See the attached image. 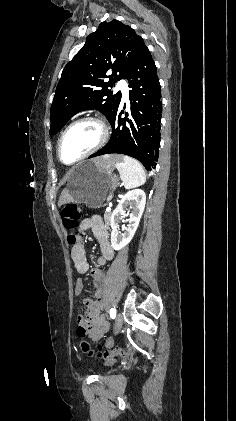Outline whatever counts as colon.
<instances>
[{"mask_svg": "<svg viewBox=\"0 0 236 421\" xmlns=\"http://www.w3.org/2000/svg\"><path fill=\"white\" fill-rule=\"evenodd\" d=\"M81 215V209L77 204H66L61 211V217L65 228L68 230H74L75 228H77L81 219ZM69 243L74 245L75 247H78L79 245H81V235L77 233L71 234L69 236ZM78 256L79 252H76V257L78 258ZM83 331V327L78 328L79 333H82ZM79 348L83 353L87 354L90 357H97L104 360H108L117 356L122 358H128L131 355L130 351L124 348H115L112 350H94L91 344L87 341H81L79 343Z\"/></svg>", "mask_w": 236, "mask_h": 421, "instance_id": "5ec220e1", "label": "colon"}]
</instances>
